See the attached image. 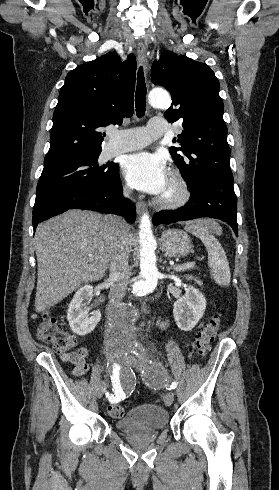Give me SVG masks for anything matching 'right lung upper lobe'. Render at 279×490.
<instances>
[{"label": "right lung upper lobe", "mask_w": 279, "mask_h": 490, "mask_svg": "<svg viewBox=\"0 0 279 490\" xmlns=\"http://www.w3.org/2000/svg\"><path fill=\"white\" fill-rule=\"evenodd\" d=\"M136 61L109 52L68 73L53 114L45 162L100 153L109 124L133 114Z\"/></svg>", "instance_id": "right-lung-upper-lobe-1"}]
</instances>
